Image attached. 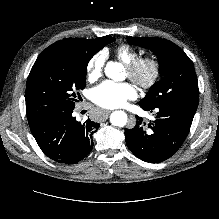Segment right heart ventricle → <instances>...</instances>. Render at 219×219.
Here are the masks:
<instances>
[{
	"label": "right heart ventricle",
	"instance_id": "right-heart-ventricle-1",
	"mask_svg": "<svg viewBox=\"0 0 219 219\" xmlns=\"http://www.w3.org/2000/svg\"><path fill=\"white\" fill-rule=\"evenodd\" d=\"M115 55L126 66L140 57V53L127 44L118 46Z\"/></svg>",
	"mask_w": 219,
	"mask_h": 219
}]
</instances>
